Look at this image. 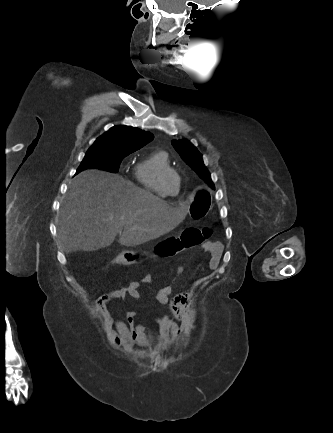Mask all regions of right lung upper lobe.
Wrapping results in <instances>:
<instances>
[{
  "label": "right lung upper lobe",
  "instance_id": "right-lung-upper-lobe-1",
  "mask_svg": "<svg viewBox=\"0 0 333 433\" xmlns=\"http://www.w3.org/2000/svg\"><path fill=\"white\" fill-rule=\"evenodd\" d=\"M153 138L154 136L150 132L132 126L117 125L96 139L92 146L130 154L146 145Z\"/></svg>",
  "mask_w": 333,
  "mask_h": 433
}]
</instances>
